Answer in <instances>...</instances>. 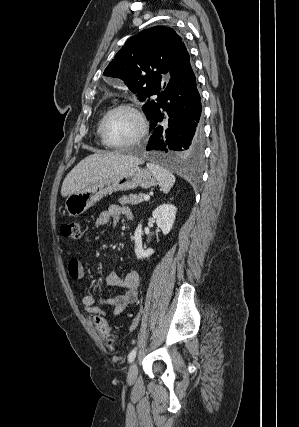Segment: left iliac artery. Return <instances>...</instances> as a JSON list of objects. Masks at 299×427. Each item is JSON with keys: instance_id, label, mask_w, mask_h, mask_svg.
<instances>
[{"instance_id": "44dca946", "label": "left iliac artery", "mask_w": 299, "mask_h": 427, "mask_svg": "<svg viewBox=\"0 0 299 427\" xmlns=\"http://www.w3.org/2000/svg\"><path fill=\"white\" fill-rule=\"evenodd\" d=\"M136 357V349H133L128 355V361L131 363Z\"/></svg>"}]
</instances>
